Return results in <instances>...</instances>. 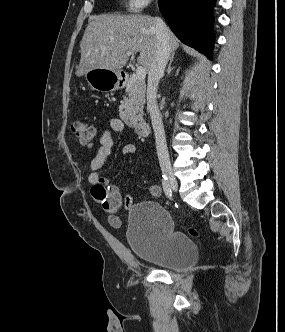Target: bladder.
<instances>
[{"label": "bladder", "instance_id": "bladder-1", "mask_svg": "<svg viewBox=\"0 0 285 332\" xmlns=\"http://www.w3.org/2000/svg\"><path fill=\"white\" fill-rule=\"evenodd\" d=\"M126 239L136 258L168 270H185L198 259L196 244L174 229L171 215L157 202L144 201L132 206Z\"/></svg>", "mask_w": 285, "mask_h": 332}]
</instances>
